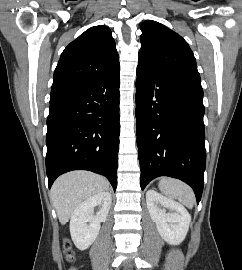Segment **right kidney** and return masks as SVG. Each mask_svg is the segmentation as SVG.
<instances>
[{
  "label": "right kidney",
  "instance_id": "obj_1",
  "mask_svg": "<svg viewBox=\"0 0 242 270\" xmlns=\"http://www.w3.org/2000/svg\"><path fill=\"white\" fill-rule=\"evenodd\" d=\"M111 202L112 196L106 191L87 198L76 207L70 220V233L78 249L85 250L95 241L101 222L106 220ZM97 205L101 208L94 215V207Z\"/></svg>",
  "mask_w": 242,
  "mask_h": 270
}]
</instances>
